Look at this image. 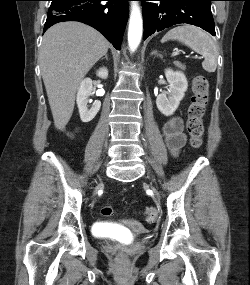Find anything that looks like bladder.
I'll list each match as a JSON object with an SVG mask.
<instances>
[{
  "mask_svg": "<svg viewBox=\"0 0 250 285\" xmlns=\"http://www.w3.org/2000/svg\"><path fill=\"white\" fill-rule=\"evenodd\" d=\"M98 233L101 236H107L109 234V229L105 227H99L98 228Z\"/></svg>",
  "mask_w": 250,
  "mask_h": 285,
  "instance_id": "obj_1",
  "label": "bladder"
}]
</instances>
